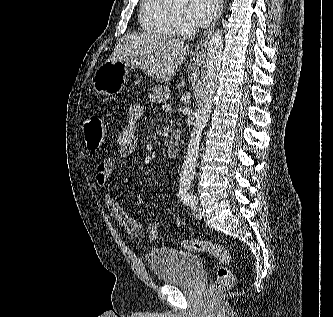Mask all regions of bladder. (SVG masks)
Segmentation results:
<instances>
[{"mask_svg": "<svg viewBox=\"0 0 333 317\" xmlns=\"http://www.w3.org/2000/svg\"><path fill=\"white\" fill-rule=\"evenodd\" d=\"M146 261L156 280L166 285H189L203 266L196 254L169 247L151 249Z\"/></svg>", "mask_w": 333, "mask_h": 317, "instance_id": "obj_1", "label": "bladder"}]
</instances>
